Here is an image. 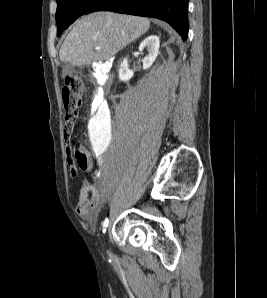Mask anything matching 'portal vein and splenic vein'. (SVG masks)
I'll return each instance as SVG.
<instances>
[{
    "instance_id": "18ae733b",
    "label": "portal vein and splenic vein",
    "mask_w": 267,
    "mask_h": 298,
    "mask_svg": "<svg viewBox=\"0 0 267 298\" xmlns=\"http://www.w3.org/2000/svg\"><path fill=\"white\" fill-rule=\"evenodd\" d=\"M101 48L100 47H96V50H100Z\"/></svg>"
}]
</instances>
